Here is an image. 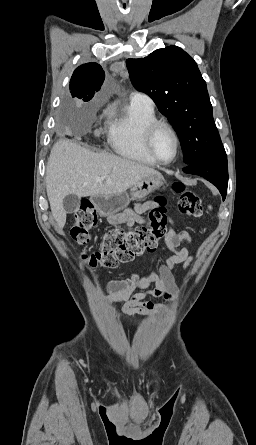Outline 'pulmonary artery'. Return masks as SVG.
<instances>
[{"label": "pulmonary artery", "mask_w": 256, "mask_h": 445, "mask_svg": "<svg viewBox=\"0 0 256 445\" xmlns=\"http://www.w3.org/2000/svg\"><path fill=\"white\" fill-rule=\"evenodd\" d=\"M131 103L153 107V100L145 93L135 92L131 95Z\"/></svg>", "instance_id": "pulmonary-artery-1"}]
</instances>
